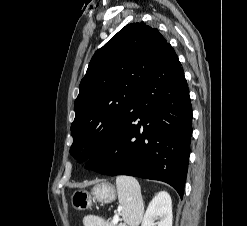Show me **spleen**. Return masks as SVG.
I'll return each mask as SVG.
<instances>
[{"label": "spleen", "instance_id": "3e777b00", "mask_svg": "<svg viewBox=\"0 0 247 226\" xmlns=\"http://www.w3.org/2000/svg\"><path fill=\"white\" fill-rule=\"evenodd\" d=\"M118 200L122 205L124 224L136 226L143 214V199L140 184L134 177L118 176L116 178ZM84 226H108V221L98 216L89 215L83 219Z\"/></svg>", "mask_w": 247, "mask_h": 226}]
</instances>
